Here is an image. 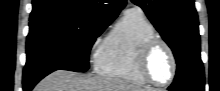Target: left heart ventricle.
I'll list each match as a JSON object with an SVG mask.
<instances>
[{
	"mask_svg": "<svg viewBox=\"0 0 220 91\" xmlns=\"http://www.w3.org/2000/svg\"><path fill=\"white\" fill-rule=\"evenodd\" d=\"M148 70L153 79L166 82L171 74V59L162 46L154 49L148 60Z\"/></svg>",
	"mask_w": 220,
	"mask_h": 91,
	"instance_id": "left-heart-ventricle-1",
	"label": "left heart ventricle"
}]
</instances>
